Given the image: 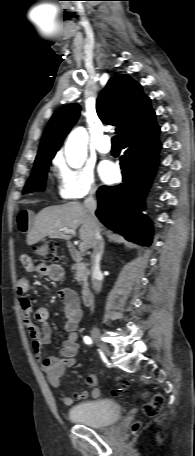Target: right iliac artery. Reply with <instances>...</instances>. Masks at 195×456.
Returning a JSON list of instances; mask_svg holds the SVG:
<instances>
[{
  "mask_svg": "<svg viewBox=\"0 0 195 456\" xmlns=\"http://www.w3.org/2000/svg\"><path fill=\"white\" fill-rule=\"evenodd\" d=\"M83 340H84V343H86L87 345L93 344V341L89 336H84Z\"/></svg>",
  "mask_w": 195,
  "mask_h": 456,
  "instance_id": "obj_1",
  "label": "right iliac artery"
}]
</instances>
